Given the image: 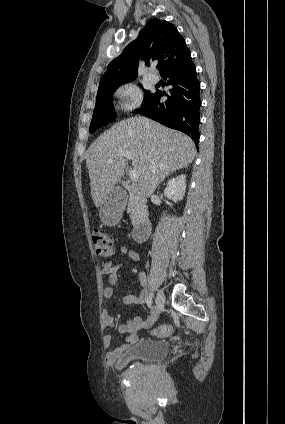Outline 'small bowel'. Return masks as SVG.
Masks as SVG:
<instances>
[{
    "mask_svg": "<svg viewBox=\"0 0 285 424\" xmlns=\"http://www.w3.org/2000/svg\"><path fill=\"white\" fill-rule=\"evenodd\" d=\"M120 253L122 255L127 256L129 259H131L134 262L139 261L140 256L139 254L128 248L127 246H121L120 247ZM118 266L113 268L108 267H102L100 269V274L108 277V286L103 288L102 295L104 298L108 299L111 298L114 294L113 286L116 285L118 281V275H117ZM139 280L142 286V291L140 294H128L123 298V302L125 304H135V305H146L148 306V292L145 289L146 286V276L144 273H141L139 275ZM149 307V306H148ZM150 308V307H149ZM155 310V309H154ZM150 311L147 318L142 319L140 317H134L133 319H130L127 323L121 324L118 327V331L121 334H124L126 337V340L123 344L118 345L115 349L112 351L107 352L105 356L106 363L112 365L117 362L120 355L127 350L131 345L135 344L139 339V333L147 328H150L153 323V315ZM115 325V318L114 316L108 312L104 311L102 314V327L104 329L111 328ZM112 342V336L107 334L104 336V344L109 346Z\"/></svg>",
    "mask_w": 285,
    "mask_h": 424,
    "instance_id": "obj_1",
    "label": "small bowel"
}]
</instances>
